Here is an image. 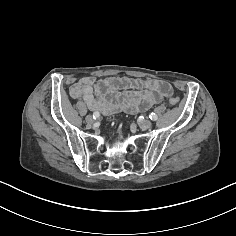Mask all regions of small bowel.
I'll use <instances>...</instances> for the list:
<instances>
[{
    "label": "small bowel",
    "mask_w": 236,
    "mask_h": 236,
    "mask_svg": "<svg viewBox=\"0 0 236 236\" xmlns=\"http://www.w3.org/2000/svg\"><path fill=\"white\" fill-rule=\"evenodd\" d=\"M71 98L81 99L92 111L111 115L120 111H145L173 94L163 80L132 77H109L96 81L86 76L70 86Z\"/></svg>",
    "instance_id": "c3829d8e"
}]
</instances>
